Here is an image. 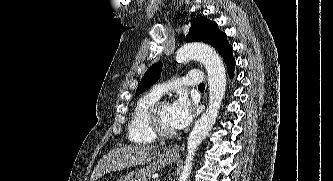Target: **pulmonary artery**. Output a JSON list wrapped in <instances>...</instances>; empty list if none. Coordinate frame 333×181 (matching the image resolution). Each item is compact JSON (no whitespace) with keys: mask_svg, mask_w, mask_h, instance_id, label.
I'll list each match as a JSON object with an SVG mask.
<instances>
[{"mask_svg":"<svg viewBox=\"0 0 333 181\" xmlns=\"http://www.w3.org/2000/svg\"><path fill=\"white\" fill-rule=\"evenodd\" d=\"M203 81V75L201 72H190L186 74L183 78L177 79L169 84H159L156 85L153 89V91L158 94L159 96H162L165 94L170 88L172 87H178L182 85L186 86H197Z\"/></svg>","mask_w":333,"mask_h":181,"instance_id":"e3ab8cb5","label":"pulmonary artery"}]
</instances>
